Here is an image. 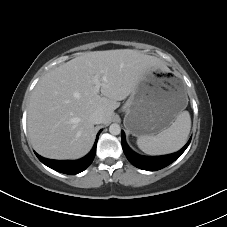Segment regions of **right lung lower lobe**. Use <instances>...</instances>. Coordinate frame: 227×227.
<instances>
[{
  "instance_id": "1",
  "label": "right lung lower lobe",
  "mask_w": 227,
  "mask_h": 227,
  "mask_svg": "<svg viewBox=\"0 0 227 227\" xmlns=\"http://www.w3.org/2000/svg\"><path fill=\"white\" fill-rule=\"evenodd\" d=\"M99 134L100 132L97 135V138L92 150L85 157L79 160L58 161V160L46 159L41 157L37 153L35 154L43 164H45L46 166L50 167L53 170H56L58 172L65 173V174H71V175L78 174L83 170H85L92 163L96 154V145H97Z\"/></svg>"
}]
</instances>
